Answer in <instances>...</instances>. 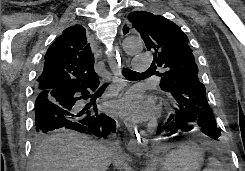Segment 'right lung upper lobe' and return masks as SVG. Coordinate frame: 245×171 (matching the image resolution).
Here are the masks:
<instances>
[{
  "instance_id": "right-lung-upper-lobe-1",
  "label": "right lung upper lobe",
  "mask_w": 245,
  "mask_h": 171,
  "mask_svg": "<svg viewBox=\"0 0 245 171\" xmlns=\"http://www.w3.org/2000/svg\"><path fill=\"white\" fill-rule=\"evenodd\" d=\"M37 91H49L71 84L99 81L94 71V56L85 28L73 25L65 29L45 54Z\"/></svg>"
}]
</instances>
